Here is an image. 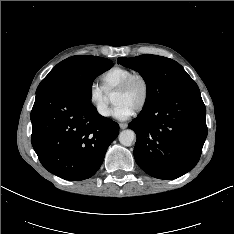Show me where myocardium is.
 Masks as SVG:
<instances>
[{"instance_id": "obj_1", "label": "myocardium", "mask_w": 234, "mask_h": 234, "mask_svg": "<svg viewBox=\"0 0 234 234\" xmlns=\"http://www.w3.org/2000/svg\"><path fill=\"white\" fill-rule=\"evenodd\" d=\"M135 81H140L144 88L142 101L134 111L135 113H139L145 109L150 99V83L144 75L140 73L132 74L115 89V93L126 92Z\"/></svg>"}]
</instances>
